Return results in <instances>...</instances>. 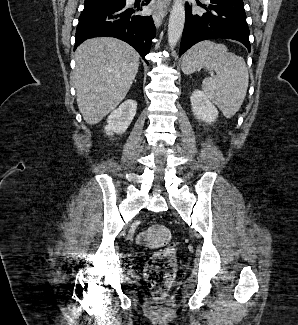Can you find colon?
I'll list each match as a JSON object with an SVG mask.
<instances>
[{"instance_id":"obj_1","label":"colon","mask_w":298,"mask_h":325,"mask_svg":"<svg viewBox=\"0 0 298 325\" xmlns=\"http://www.w3.org/2000/svg\"><path fill=\"white\" fill-rule=\"evenodd\" d=\"M140 245L160 249L149 259L144 270L149 289L156 296L163 298L175 275L176 246L169 230L161 224H156L138 235Z\"/></svg>"}]
</instances>
